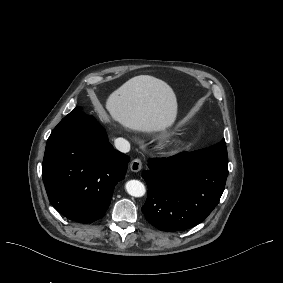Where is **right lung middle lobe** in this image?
<instances>
[{
  "label": "right lung middle lobe",
  "mask_w": 283,
  "mask_h": 283,
  "mask_svg": "<svg viewBox=\"0 0 283 283\" xmlns=\"http://www.w3.org/2000/svg\"><path fill=\"white\" fill-rule=\"evenodd\" d=\"M82 112L79 107H76L72 112H70L67 116Z\"/></svg>",
  "instance_id": "1"
}]
</instances>
